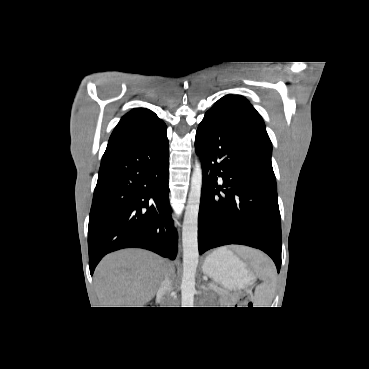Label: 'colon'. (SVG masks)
<instances>
[{
  "instance_id": "obj_1",
  "label": "colon",
  "mask_w": 369,
  "mask_h": 369,
  "mask_svg": "<svg viewBox=\"0 0 369 369\" xmlns=\"http://www.w3.org/2000/svg\"><path fill=\"white\" fill-rule=\"evenodd\" d=\"M242 301H243L244 303H248V302H249V298H248V297H244V298L242 299Z\"/></svg>"
}]
</instances>
